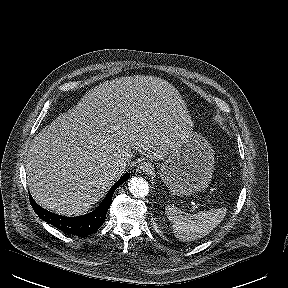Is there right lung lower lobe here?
<instances>
[{
	"label": "right lung lower lobe",
	"mask_w": 288,
	"mask_h": 288,
	"mask_svg": "<svg viewBox=\"0 0 288 288\" xmlns=\"http://www.w3.org/2000/svg\"><path fill=\"white\" fill-rule=\"evenodd\" d=\"M130 178L125 173L109 190L103 202L93 212L80 217H63L40 207L30 196V203L36 214L45 222L59 228L61 231L76 236H88L97 231L104 223L108 208L112 203V196L116 188Z\"/></svg>",
	"instance_id": "obj_1"
}]
</instances>
